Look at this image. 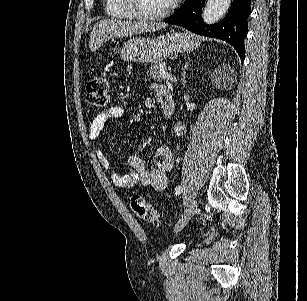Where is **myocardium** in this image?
<instances>
[{"label": "myocardium", "instance_id": "obj_1", "mask_svg": "<svg viewBox=\"0 0 307 301\" xmlns=\"http://www.w3.org/2000/svg\"><path fill=\"white\" fill-rule=\"evenodd\" d=\"M136 2L137 0H126V2L120 3L127 15L135 18L136 22H160L161 18L168 17V13L173 6V1H169L170 3L163 5L160 11H139L138 4H134Z\"/></svg>", "mask_w": 307, "mask_h": 301}]
</instances>
